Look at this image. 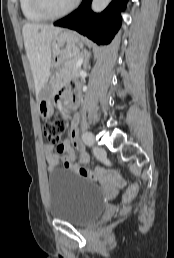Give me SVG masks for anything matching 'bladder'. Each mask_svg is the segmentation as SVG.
<instances>
[{"label":"bladder","mask_w":174,"mask_h":258,"mask_svg":"<svg viewBox=\"0 0 174 258\" xmlns=\"http://www.w3.org/2000/svg\"><path fill=\"white\" fill-rule=\"evenodd\" d=\"M48 211L52 219L84 226L106 207L102 190L81 175L55 169L48 176Z\"/></svg>","instance_id":"1"}]
</instances>
